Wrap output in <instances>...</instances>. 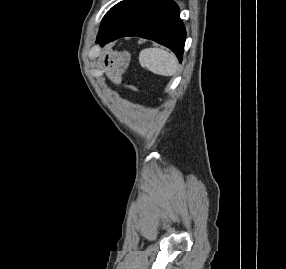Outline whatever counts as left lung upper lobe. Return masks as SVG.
Segmentation results:
<instances>
[{"label": "left lung upper lobe", "instance_id": "left-lung-upper-lobe-1", "mask_svg": "<svg viewBox=\"0 0 286 269\" xmlns=\"http://www.w3.org/2000/svg\"><path fill=\"white\" fill-rule=\"evenodd\" d=\"M143 0H123L113 6L104 16L100 30L115 26L124 16L136 8Z\"/></svg>", "mask_w": 286, "mask_h": 269}]
</instances>
